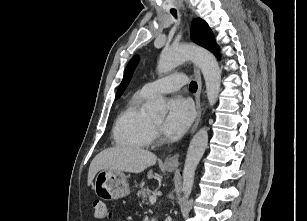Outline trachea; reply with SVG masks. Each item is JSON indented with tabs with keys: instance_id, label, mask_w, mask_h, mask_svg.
I'll return each instance as SVG.
<instances>
[{
	"instance_id": "1",
	"label": "trachea",
	"mask_w": 307,
	"mask_h": 221,
	"mask_svg": "<svg viewBox=\"0 0 307 221\" xmlns=\"http://www.w3.org/2000/svg\"><path fill=\"white\" fill-rule=\"evenodd\" d=\"M171 13H172L173 16H176V10H171ZM189 88H190L191 92H196L198 85L195 81H191Z\"/></svg>"
}]
</instances>
